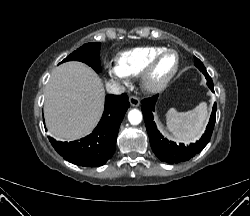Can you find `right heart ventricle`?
<instances>
[{"label":"right heart ventricle","instance_id":"1","mask_svg":"<svg viewBox=\"0 0 250 216\" xmlns=\"http://www.w3.org/2000/svg\"><path fill=\"white\" fill-rule=\"evenodd\" d=\"M164 49L162 46H143L125 51L118 57V67L125 75H141L151 58Z\"/></svg>","mask_w":250,"mask_h":216}]
</instances>
